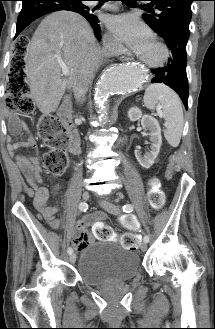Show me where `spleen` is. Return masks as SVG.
I'll return each instance as SVG.
<instances>
[{"instance_id":"obj_1","label":"spleen","mask_w":215,"mask_h":329,"mask_svg":"<svg viewBox=\"0 0 215 329\" xmlns=\"http://www.w3.org/2000/svg\"><path fill=\"white\" fill-rule=\"evenodd\" d=\"M144 103L148 109H162V115L166 121L164 136L172 147H177L184 127L179 96L164 84H153L145 90Z\"/></svg>"}]
</instances>
